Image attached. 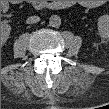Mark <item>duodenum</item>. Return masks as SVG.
Returning a JSON list of instances; mask_svg holds the SVG:
<instances>
[{"mask_svg":"<svg viewBox=\"0 0 109 109\" xmlns=\"http://www.w3.org/2000/svg\"><path fill=\"white\" fill-rule=\"evenodd\" d=\"M30 4L37 10H43L52 5L51 3H48L46 1H31Z\"/></svg>","mask_w":109,"mask_h":109,"instance_id":"410a0bca","label":"duodenum"}]
</instances>
